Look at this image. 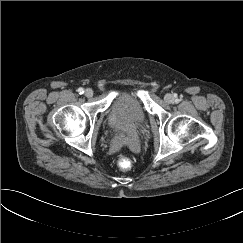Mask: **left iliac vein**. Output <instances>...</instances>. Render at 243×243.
<instances>
[{
    "label": "left iliac vein",
    "instance_id": "4c4485c4",
    "mask_svg": "<svg viewBox=\"0 0 243 243\" xmlns=\"http://www.w3.org/2000/svg\"><path fill=\"white\" fill-rule=\"evenodd\" d=\"M164 100L166 103L170 104L173 102V96L171 94H166Z\"/></svg>",
    "mask_w": 243,
    "mask_h": 243
}]
</instances>
